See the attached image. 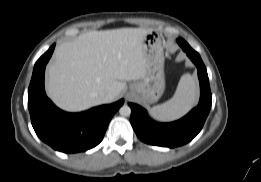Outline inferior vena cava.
Returning <instances> with one entry per match:
<instances>
[{
  "instance_id": "obj_1",
  "label": "inferior vena cava",
  "mask_w": 261,
  "mask_h": 182,
  "mask_svg": "<svg viewBox=\"0 0 261 182\" xmlns=\"http://www.w3.org/2000/svg\"><path fill=\"white\" fill-rule=\"evenodd\" d=\"M110 96H111V94L107 93L105 97L108 99V98H110Z\"/></svg>"
}]
</instances>
